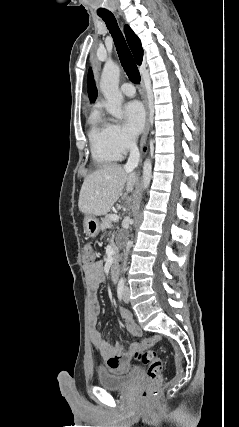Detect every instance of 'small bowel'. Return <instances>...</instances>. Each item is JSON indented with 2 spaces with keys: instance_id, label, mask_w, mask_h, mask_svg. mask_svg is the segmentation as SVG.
Wrapping results in <instances>:
<instances>
[{
  "instance_id": "obj_1",
  "label": "small bowel",
  "mask_w": 239,
  "mask_h": 427,
  "mask_svg": "<svg viewBox=\"0 0 239 427\" xmlns=\"http://www.w3.org/2000/svg\"><path fill=\"white\" fill-rule=\"evenodd\" d=\"M85 275L90 290V308L89 319L92 326L91 340L94 347L106 363L107 368L117 374H123L129 371L132 355L154 343L155 338L136 341L126 346L123 341H116L114 344L108 342L96 329L98 316L101 310L100 303L96 293L100 284L105 280L104 266L101 261L85 267ZM119 314L124 321L127 332L134 337L142 335L141 328L134 321L131 313L120 308Z\"/></svg>"
}]
</instances>
